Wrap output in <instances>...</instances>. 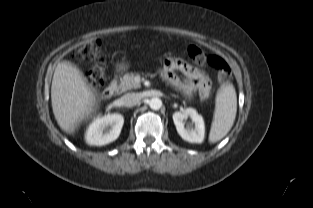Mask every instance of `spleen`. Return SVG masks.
Instances as JSON below:
<instances>
[{"label":"spleen","mask_w":313,"mask_h":208,"mask_svg":"<svg viewBox=\"0 0 313 208\" xmlns=\"http://www.w3.org/2000/svg\"><path fill=\"white\" fill-rule=\"evenodd\" d=\"M237 111V96L232 85L224 86L217 94L215 117L209 134V141L221 140L233 126Z\"/></svg>","instance_id":"3e777b00"}]
</instances>
